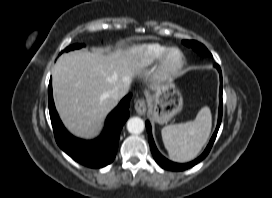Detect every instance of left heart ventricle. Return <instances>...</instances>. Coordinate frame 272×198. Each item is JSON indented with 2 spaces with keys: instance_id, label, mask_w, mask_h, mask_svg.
<instances>
[{
  "instance_id": "1",
  "label": "left heart ventricle",
  "mask_w": 272,
  "mask_h": 198,
  "mask_svg": "<svg viewBox=\"0 0 272 198\" xmlns=\"http://www.w3.org/2000/svg\"><path fill=\"white\" fill-rule=\"evenodd\" d=\"M179 60V54L178 53H173L170 57V64L174 65L178 62Z\"/></svg>"
}]
</instances>
